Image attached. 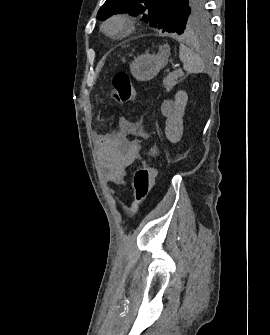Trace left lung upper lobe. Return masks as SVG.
<instances>
[{
    "label": "left lung upper lobe",
    "mask_w": 270,
    "mask_h": 335,
    "mask_svg": "<svg viewBox=\"0 0 270 335\" xmlns=\"http://www.w3.org/2000/svg\"><path fill=\"white\" fill-rule=\"evenodd\" d=\"M205 0H106L98 11V20L112 14L129 13L162 32L189 35L206 31L210 26Z\"/></svg>",
    "instance_id": "left-lung-upper-lobe-1"
}]
</instances>
